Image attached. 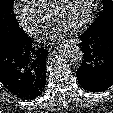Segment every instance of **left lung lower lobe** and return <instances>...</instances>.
I'll use <instances>...</instances> for the list:
<instances>
[{
  "instance_id": "obj_1",
  "label": "left lung lower lobe",
  "mask_w": 113,
  "mask_h": 113,
  "mask_svg": "<svg viewBox=\"0 0 113 113\" xmlns=\"http://www.w3.org/2000/svg\"><path fill=\"white\" fill-rule=\"evenodd\" d=\"M83 59L76 77L85 90L102 92L113 85V23L87 29L80 36Z\"/></svg>"
}]
</instances>
